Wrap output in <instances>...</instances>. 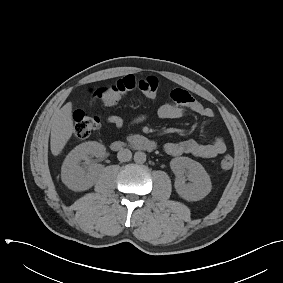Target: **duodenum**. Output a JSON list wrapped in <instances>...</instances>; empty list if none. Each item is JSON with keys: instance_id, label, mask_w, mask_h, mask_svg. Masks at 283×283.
Returning <instances> with one entry per match:
<instances>
[{"instance_id": "1", "label": "duodenum", "mask_w": 283, "mask_h": 283, "mask_svg": "<svg viewBox=\"0 0 283 283\" xmlns=\"http://www.w3.org/2000/svg\"><path fill=\"white\" fill-rule=\"evenodd\" d=\"M126 148H132L136 150H144L148 152H152L156 150L157 144L146 137H134L129 140H116L111 143V149L113 151H121Z\"/></svg>"}]
</instances>
